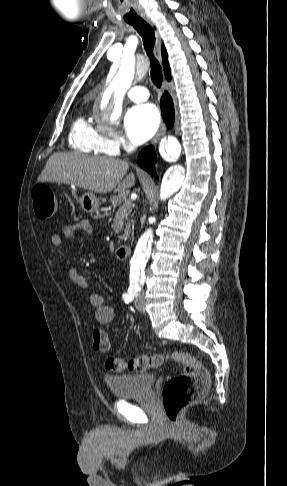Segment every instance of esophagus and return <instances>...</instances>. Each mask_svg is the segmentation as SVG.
Listing matches in <instances>:
<instances>
[{"label": "esophagus", "mask_w": 287, "mask_h": 486, "mask_svg": "<svg viewBox=\"0 0 287 486\" xmlns=\"http://www.w3.org/2000/svg\"><path fill=\"white\" fill-rule=\"evenodd\" d=\"M143 19H144V21H146L153 28V30L155 32V37H156V51L158 53V56L160 57L161 37H160L159 31H158V28L155 25V23L149 17H146L145 16V17H143ZM165 131H166V127H165V124L163 123L161 125L159 131L157 132V134L153 138L152 145H156L157 144V142L159 141V139L161 138V136H163L165 134Z\"/></svg>", "instance_id": "1"}]
</instances>
